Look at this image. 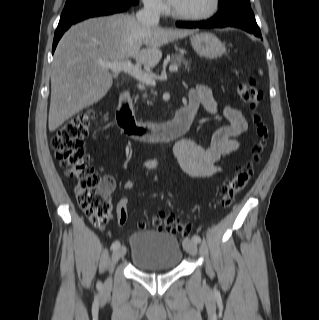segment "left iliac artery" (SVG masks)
<instances>
[{"label": "left iliac artery", "instance_id": "1", "mask_svg": "<svg viewBox=\"0 0 319 320\" xmlns=\"http://www.w3.org/2000/svg\"><path fill=\"white\" fill-rule=\"evenodd\" d=\"M192 240H193L194 242H196V243H200V242H201V238H200V236H198V235H194V236L192 237Z\"/></svg>", "mask_w": 319, "mask_h": 320}]
</instances>
